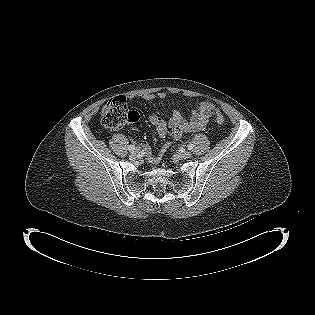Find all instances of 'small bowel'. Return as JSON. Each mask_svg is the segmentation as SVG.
Returning a JSON list of instances; mask_svg holds the SVG:
<instances>
[{
    "label": "small bowel",
    "mask_w": 315,
    "mask_h": 315,
    "mask_svg": "<svg viewBox=\"0 0 315 315\" xmlns=\"http://www.w3.org/2000/svg\"><path fill=\"white\" fill-rule=\"evenodd\" d=\"M167 94L165 92L147 93L142 96L144 101L150 102L155 99H165ZM214 112L213 105L208 101L198 103L191 111V116L186 120L180 112L175 111L170 120L166 121L156 114L149 116L150 123L155 126L156 131L160 137H172L179 139L185 133L196 132L204 129L212 118ZM167 148L164 145L161 150L149 157L151 164H157L162 156L163 151Z\"/></svg>",
    "instance_id": "c3829d8e"
}]
</instances>
